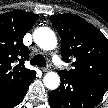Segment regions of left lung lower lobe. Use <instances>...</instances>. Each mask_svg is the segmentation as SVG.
I'll return each mask as SVG.
<instances>
[{
  "mask_svg": "<svg viewBox=\"0 0 108 108\" xmlns=\"http://www.w3.org/2000/svg\"><path fill=\"white\" fill-rule=\"evenodd\" d=\"M60 87L49 94L51 108H93L108 89V82L59 74Z\"/></svg>",
  "mask_w": 108,
  "mask_h": 108,
  "instance_id": "0a47b994",
  "label": "left lung lower lobe"
}]
</instances>
